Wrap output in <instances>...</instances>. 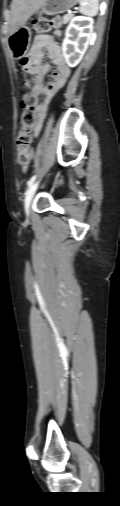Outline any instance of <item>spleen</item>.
<instances>
[{"label": "spleen", "instance_id": "obj_1", "mask_svg": "<svg viewBox=\"0 0 120 506\" xmlns=\"http://www.w3.org/2000/svg\"><path fill=\"white\" fill-rule=\"evenodd\" d=\"M80 13L95 16L98 12V0H79Z\"/></svg>", "mask_w": 120, "mask_h": 506}]
</instances>
